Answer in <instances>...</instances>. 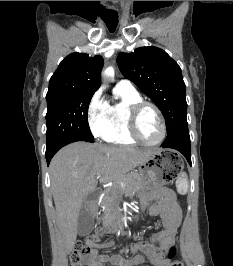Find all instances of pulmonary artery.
<instances>
[{
	"label": "pulmonary artery",
	"mask_w": 233,
	"mask_h": 266,
	"mask_svg": "<svg viewBox=\"0 0 233 266\" xmlns=\"http://www.w3.org/2000/svg\"><path fill=\"white\" fill-rule=\"evenodd\" d=\"M116 86L127 90H136L132 82L127 79L120 80Z\"/></svg>",
	"instance_id": "e3ab8cb5"
}]
</instances>
